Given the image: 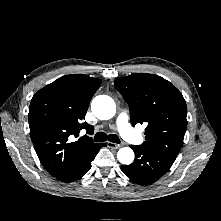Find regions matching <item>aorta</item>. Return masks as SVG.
Segmentation results:
<instances>
[{
    "label": "aorta",
    "instance_id": "1",
    "mask_svg": "<svg viewBox=\"0 0 221 221\" xmlns=\"http://www.w3.org/2000/svg\"><path fill=\"white\" fill-rule=\"evenodd\" d=\"M91 110L98 119L108 120L115 115L116 105L111 97L99 95L92 100ZM117 159L121 164L129 165L134 161V152L129 147H123L118 151Z\"/></svg>",
    "mask_w": 221,
    "mask_h": 221
}]
</instances>
